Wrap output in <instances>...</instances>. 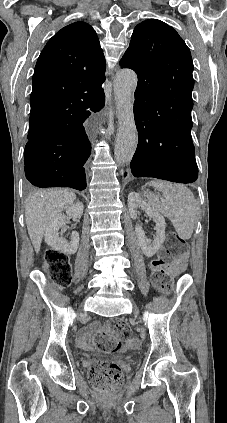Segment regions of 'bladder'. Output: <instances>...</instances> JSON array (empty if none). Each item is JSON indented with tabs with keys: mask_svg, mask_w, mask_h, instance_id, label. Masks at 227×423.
<instances>
[{
	"mask_svg": "<svg viewBox=\"0 0 227 423\" xmlns=\"http://www.w3.org/2000/svg\"><path fill=\"white\" fill-rule=\"evenodd\" d=\"M127 362H131L132 361V357L131 356H129L128 358H127V360H126Z\"/></svg>",
	"mask_w": 227,
	"mask_h": 423,
	"instance_id": "31cf9c89",
	"label": "bladder"
}]
</instances>
